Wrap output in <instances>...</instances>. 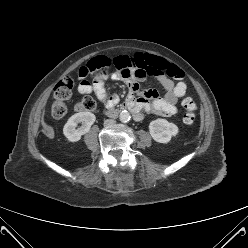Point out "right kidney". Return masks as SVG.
Returning <instances> with one entry per match:
<instances>
[{
    "label": "right kidney",
    "instance_id": "ca27d5eb",
    "mask_svg": "<svg viewBox=\"0 0 248 248\" xmlns=\"http://www.w3.org/2000/svg\"><path fill=\"white\" fill-rule=\"evenodd\" d=\"M95 120L96 117L91 112L76 113L68 119L63 128V133L69 141H79L82 135L89 132ZM78 123H82L80 128H76Z\"/></svg>",
    "mask_w": 248,
    "mask_h": 248
}]
</instances>
